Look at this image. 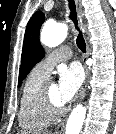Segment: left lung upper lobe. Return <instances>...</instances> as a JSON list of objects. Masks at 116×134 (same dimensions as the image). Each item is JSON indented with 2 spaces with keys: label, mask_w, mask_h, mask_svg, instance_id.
Instances as JSON below:
<instances>
[{
  "label": "left lung upper lobe",
  "mask_w": 116,
  "mask_h": 134,
  "mask_svg": "<svg viewBox=\"0 0 116 134\" xmlns=\"http://www.w3.org/2000/svg\"><path fill=\"white\" fill-rule=\"evenodd\" d=\"M45 19L44 13L37 11L27 24L22 49V59L19 72V84L30 70L43 58L44 49L39 42V32Z\"/></svg>",
  "instance_id": "left-lung-upper-lobe-1"
}]
</instances>
